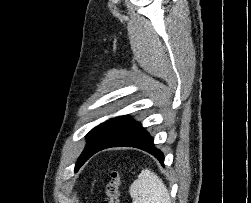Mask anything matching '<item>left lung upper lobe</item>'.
<instances>
[{
	"instance_id": "left-lung-upper-lobe-1",
	"label": "left lung upper lobe",
	"mask_w": 251,
	"mask_h": 203,
	"mask_svg": "<svg viewBox=\"0 0 251 203\" xmlns=\"http://www.w3.org/2000/svg\"><path fill=\"white\" fill-rule=\"evenodd\" d=\"M134 122L128 116L112 118L95 128L87 134V145L80 155L75 170L79 169L86 161L85 159L101 145L107 143L110 139L126 129ZM85 161V162H84Z\"/></svg>"
}]
</instances>
